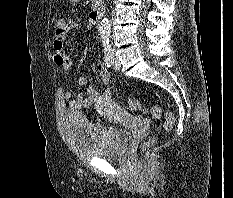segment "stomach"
Masks as SVG:
<instances>
[{
    "instance_id": "obj_1",
    "label": "stomach",
    "mask_w": 233,
    "mask_h": 198,
    "mask_svg": "<svg viewBox=\"0 0 233 198\" xmlns=\"http://www.w3.org/2000/svg\"><path fill=\"white\" fill-rule=\"evenodd\" d=\"M70 1V3H72V4H76V3H78L80 0H69Z\"/></svg>"
}]
</instances>
